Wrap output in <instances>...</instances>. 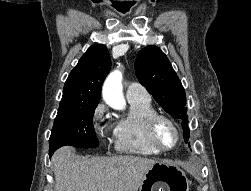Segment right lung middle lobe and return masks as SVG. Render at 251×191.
<instances>
[{
  "instance_id": "right-lung-middle-lobe-1",
  "label": "right lung middle lobe",
  "mask_w": 251,
  "mask_h": 191,
  "mask_svg": "<svg viewBox=\"0 0 251 191\" xmlns=\"http://www.w3.org/2000/svg\"><path fill=\"white\" fill-rule=\"evenodd\" d=\"M98 104L59 108L49 139V155L64 145L95 148L99 145L93 127V115Z\"/></svg>"
}]
</instances>
